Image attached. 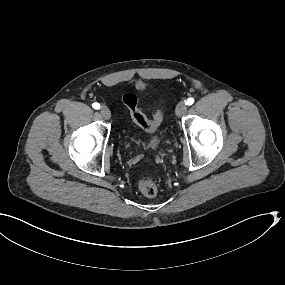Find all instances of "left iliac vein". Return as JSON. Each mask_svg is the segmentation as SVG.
I'll list each match as a JSON object with an SVG mask.
<instances>
[{
	"mask_svg": "<svg viewBox=\"0 0 285 285\" xmlns=\"http://www.w3.org/2000/svg\"><path fill=\"white\" fill-rule=\"evenodd\" d=\"M187 112V105L185 102L181 101L178 103L175 113L177 117L184 116Z\"/></svg>",
	"mask_w": 285,
	"mask_h": 285,
	"instance_id": "1",
	"label": "left iliac vein"
}]
</instances>
